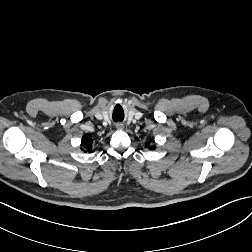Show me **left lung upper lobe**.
Returning <instances> with one entry per match:
<instances>
[{
    "label": "left lung upper lobe",
    "mask_w": 252,
    "mask_h": 252,
    "mask_svg": "<svg viewBox=\"0 0 252 252\" xmlns=\"http://www.w3.org/2000/svg\"><path fill=\"white\" fill-rule=\"evenodd\" d=\"M146 147H148V148H149V143H147V144H146ZM152 148H153V147H151V149H152Z\"/></svg>",
    "instance_id": "5c2ea615"
}]
</instances>
